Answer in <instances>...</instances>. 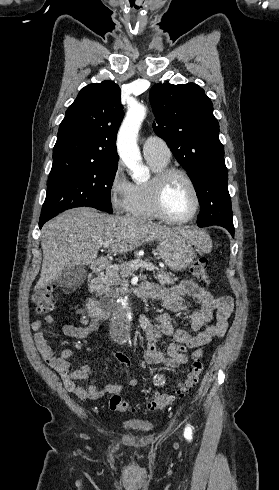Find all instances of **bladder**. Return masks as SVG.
Returning <instances> with one entry per match:
<instances>
[{
	"mask_svg": "<svg viewBox=\"0 0 279 490\" xmlns=\"http://www.w3.org/2000/svg\"><path fill=\"white\" fill-rule=\"evenodd\" d=\"M133 430L140 431L142 433H148L153 430V425L149 422H141L133 427Z\"/></svg>",
	"mask_w": 279,
	"mask_h": 490,
	"instance_id": "1",
	"label": "bladder"
}]
</instances>
